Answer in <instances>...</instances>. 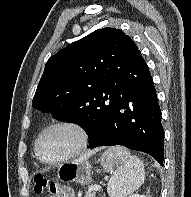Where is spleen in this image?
<instances>
[{
    "label": "spleen",
    "instance_id": "3e777b00",
    "mask_svg": "<svg viewBox=\"0 0 191 197\" xmlns=\"http://www.w3.org/2000/svg\"><path fill=\"white\" fill-rule=\"evenodd\" d=\"M108 153L117 165L108 184V193L111 197H127L138 190L144 182L143 162L122 146L112 147L108 149Z\"/></svg>",
    "mask_w": 191,
    "mask_h": 197
}]
</instances>
